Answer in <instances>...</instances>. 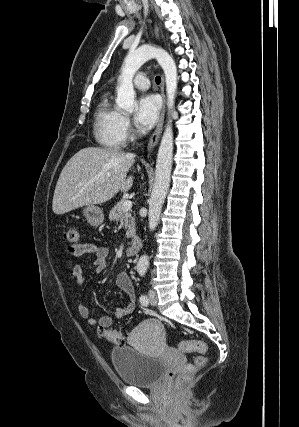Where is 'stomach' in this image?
I'll return each instance as SVG.
<instances>
[{"label":"stomach","instance_id":"1","mask_svg":"<svg viewBox=\"0 0 299 427\" xmlns=\"http://www.w3.org/2000/svg\"><path fill=\"white\" fill-rule=\"evenodd\" d=\"M83 216L87 222L92 226H99L104 221V214L100 207L95 205H87L83 211Z\"/></svg>","mask_w":299,"mask_h":427}]
</instances>
